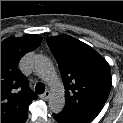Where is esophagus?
<instances>
[{"label":"esophagus","mask_w":123,"mask_h":123,"mask_svg":"<svg viewBox=\"0 0 123 123\" xmlns=\"http://www.w3.org/2000/svg\"><path fill=\"white\" fill-rule=\"evenodd\" d=\"M50 97V91H45L41 96L40 98L43 99V100H46Z\"/></svg>","instance_id":"1"}]
</instances>
